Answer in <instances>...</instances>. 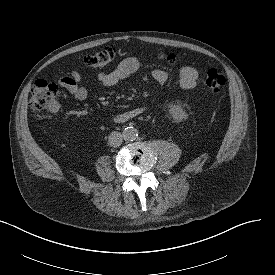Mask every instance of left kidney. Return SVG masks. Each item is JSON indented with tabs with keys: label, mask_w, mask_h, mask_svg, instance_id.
<instances>
[{
	"label": "left kidney",
	"mask_w": 275,
	"mask_h": 275,
	"mask_svg": "<svg viewBox=\"0 0 275 275\" xmlns=\"http://www.w3.org/2000/svg\"><path fill=\"white\" fill-rule=\"evenodd\" d=\"M169 113L176 122H181L183 119L187 118V113L180 105H172L169 109Z\"/></svg>",
	"instance_id": "obj_1"
}]
</instances>
